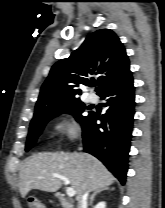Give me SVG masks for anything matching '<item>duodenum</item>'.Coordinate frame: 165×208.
Listing matches in <instances>:
<instances>
[{"label": "duodenum", "mask_w": 165, "mask_h": 208, "mask_svg": "<svg viewBox=\"0 0 165 208\" xmlns=\"http://www.w3.org/2000/svg\"><path fill=\"white\" fill-rule=\"evenodd\" d=\"M57 200L63 208H74L72 202L64 194L58 193Z\"/></svg>", "instance_id": "obj_1"}]
</instances>
